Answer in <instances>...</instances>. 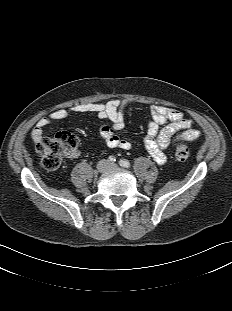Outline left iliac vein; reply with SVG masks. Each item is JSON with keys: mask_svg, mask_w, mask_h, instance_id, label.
<instances>
[{"mask_svg": "<svg viewBox=\"0 0 232 311\" xmlns=\"http://www.w3.org/2000/svg\"><path fill=\"white\" fill-rule=\"evenodd\" d=\"M117 167H118V165L115 164V163H111V164H109V166H108L109 169H116Z\"/></svg>", "mask_w": 232, "mask_h": 311, "instance_id": "4c4485c4", "label": "left iliac vein"}]
</instances>
